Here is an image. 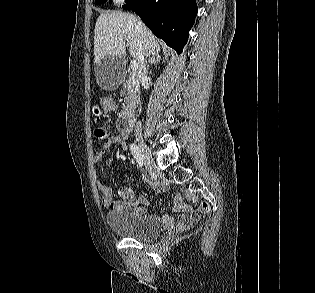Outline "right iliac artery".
<instances>
[{
  "label": "right iliac artery",
  "mask_w": 315,
  "mask_h": 293,
  "mask_svg": "<svg viewBox=\"0 0 315 293\" xmlns=\"http://www.w3.org/2000/svg\"><path fill=\"white\" fill-rule=\"evenodd\" d=\"M130 151L134 158L136 159L138 165L142 167L144 165V157L140 148L136 144H131Z\"/></svg>",
  "instance_id": "82829eb1"
}]
</instances>
